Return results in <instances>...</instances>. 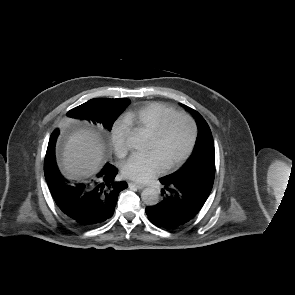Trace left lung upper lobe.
Returning a JSON list of instances; mask_svg holds the SVG:
<instances>
[{
    "instance_id": "left-lung-upper-lobe-1",
    "label": "left lung upper lobe",
    "mask_w": 295,
    "mask_h": 295,
    "mask_svg": "<svg viewBox=\"0 0 295 295\" xmlns=\"http://www.w3.org/2000/svg\"><path fill=\"white\" fill-rule=\"evenodd\" d=\"M194 118L198 126V136L193 152L186 164L169 176L186 178L205 173L215 174V150L211 130L204 118L194 109L183 105Z\"/></svg>"
}]
</instances>
